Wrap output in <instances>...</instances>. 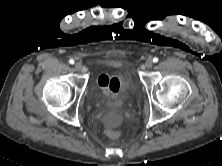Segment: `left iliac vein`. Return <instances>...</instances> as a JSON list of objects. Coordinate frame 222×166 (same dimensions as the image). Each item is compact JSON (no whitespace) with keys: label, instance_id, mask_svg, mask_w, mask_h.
I'll list each match as a JSON object with an SVG mask.
<instances>
[{"label":"left iliac vein","instance_id":"4c4485c4","mask_svg":"<svg viewBox=\"0 0 222 166\" xmlns=\"http://www.w3.org/2000/svg\"><path fill=\"white\" fill-rule=\"evenodd\" d=\"M153 66V62L151 59H148L146 62H145V67L150 69L151 67Z\"/></svg>","mask_w":222,"mask_h":166}]
</instances>
